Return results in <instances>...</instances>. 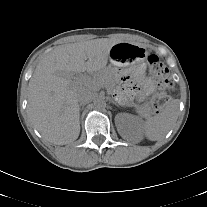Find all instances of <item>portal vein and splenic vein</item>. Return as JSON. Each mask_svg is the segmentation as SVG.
Masks as SVG:
<instances>
[{"label":"portal vein and splenic vein","mask_w":207,"mask_h":207,"mask_svg":"<svg viewBox=\"0 0 207 207\" xmlns=\"http://www.w3.org/2000/svg\"><path fill=\"white\" fill-rule=\"evenodd\" d=\"M74 82H86L88 85H90L91 87H95L97 89H99V85L92 79H90L89 77H78L74 80Z\"/></svg>","instance_id":"portal-vein-and-splenic-vein-1"}]
</instances>
